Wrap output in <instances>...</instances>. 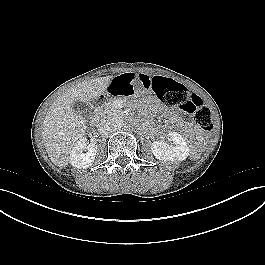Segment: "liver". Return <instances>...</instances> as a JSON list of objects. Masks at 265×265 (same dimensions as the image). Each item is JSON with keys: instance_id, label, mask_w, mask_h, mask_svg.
Instances as JSON below:
<instances>
[{"instance_id": "obj_1", "label": "liver", "mask_w": 265, "mask_h": 265, "mask_svg": "<svg viewBox=\"0 0 265 265\" xmlns=\"http://www.w3.org/2000/svg\"><path fill=\"white\" fill-rule=\"evenodd\" d=\"M113 76L83 81L66 90L52 104L43 122L42 137L51 161L64 168L78 140L84 137L86 119L74 109L75 102L88 103L99 98L108 88Z\"/></svg>"}]
</instances>
